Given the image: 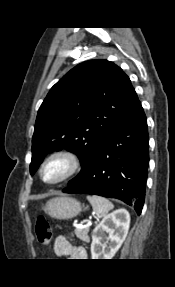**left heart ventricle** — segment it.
<instances>
[{
	"instance_id": "left-heart-ventricle-1",
	"label": "left heart ventricle",
	"mask_w": 175,
	"mask_h": 287,
	"mask_svg": "<svg viewBox=\"0 0 175 287\" xmlns=\"http://www.w3.org/2000/svg\"><path fill=\"white\" fill-rule=\"evenodd\" d=\"M67 169L68 163L64 159H55L45 167L43 176L47 181H53L63 176Z\"/></svg>"
}]
</instances>
